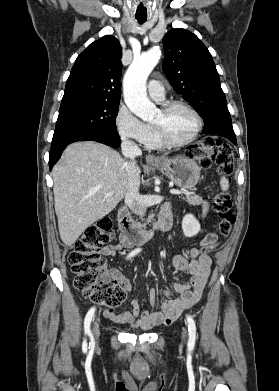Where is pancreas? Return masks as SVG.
Wrapping results in <instances>:
<instances>
[{
  "label": "pancreas",
  "instance_id": "cf45deb5",
  "mask_svg": "<svg viewBox=\"0 0 279 391\" xmlns=\"http://www.w3.org/2000/svg\"><path fill=\"white\" fill-rule=\"evenodd\" d=\"M185 196H186V199L190 205L197 206V205H201V203H202V197L194 194L193 192L185 193ZM151 219H152V216H149L147 221L150 222ZM143 226H145V225H143Z\"/></svg>",
  "mask_w": 279,
  "mask_h": 391
}]
</instances>
